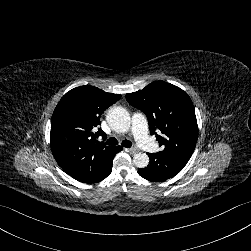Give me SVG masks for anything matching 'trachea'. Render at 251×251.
I'll return each mask as SVG.
<instances>
[{
	"mask_svg": "<svg viewBox=\"0 0 251 251\" xmlns=\"http://www.w3.org/2000/svg\"><path fill=\"white\" fill-rule=\"evenodd\" d=\"M106 144L114 146V145L118 144V141H117L116 138L112 137V138H109L106 141ZM121 145L124 146V147H126V148H130L132 144H131V142L129 140H123L122 143H121Z\"/></svg>",
	"mask_w": 251,
	"mask_h": 251,
	"instance_id": "3493384b",
	"label": "trachea"
}]
</instances>
